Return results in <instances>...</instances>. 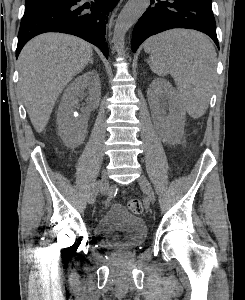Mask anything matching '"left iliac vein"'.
<instances>
[{
    "instance_id": "left-iliac-vein-1",
    "label": "left iliac vein",
    "mask_w": 245,
    "mask_h": 300,
    "mask_svg": "<svg viewBox=\"0 0 245 300\" xmlns=\"http://www.w3.org/2000/svg\"><path fill=\"white\" fill-rule=\"evenodd\" d=\"M138 183L141 186V188L143 189V191L146 193L148 200L151 203H154L155 202V193H154V190H153L151 184L149 183L148 179L144 175H141L138 179Z\"/></svg>"
}]
</instances>
